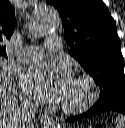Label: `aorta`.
Masks as SVG:
<instances>
[{"label": "aorta", "mask_w": 125, "mask_h": 128, "mask_svg": "<svg viewBox=\"0 0 125 128\" xmlns=\"http://www.w3.org/2000/svg\"><path fill=\"white\" fill-rule=\"evenodd\" d=\"M59 22V14L53 7H41L34 14L30 24V30L36 37L43 36L56 30ZM44 128H56V125L49 124Z\"/></svg>", "instance_id": "obj_1"}]
</instances>
